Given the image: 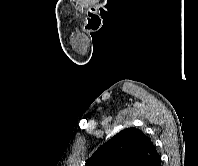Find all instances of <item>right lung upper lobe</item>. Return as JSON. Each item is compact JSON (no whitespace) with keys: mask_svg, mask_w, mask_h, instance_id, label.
Wrapping results in <instances>:
<instances>
[{"mask_svg":"<svg viewBox=\"0 0 198 166\" xmlns=\"http://www.w3.org/2000/svg\"><path fill=\"white\" fill-rule=\"evenodd\" d=\"M158 156L150 138L131 127L100 146L85 166H150Z\"/></svg>","mask_w":198,"mask_h":166,"instance_id":"right-lung-upper-lobe-1","label":"right lung upper lobe"}]
</instances>
